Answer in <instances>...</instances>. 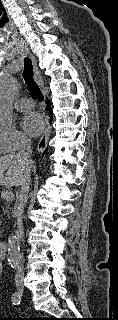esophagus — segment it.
I'll list each match as a JSON object with an SVG mask.
<instances>
[{
	"label": "esophagus",
	"mask_w": 118,
	"mask_h": 320,
	"mask_svg": "<svg viewBox=\"0 0 118 320\" xmlns=\"http://www.w3.org/2000/svg\"><path fill=\"white\" fill-rule=\"evenodd\" d=\"M30 59H31L33 67H34V78L40 86H43L44 81L42 79L40 70L38 68L37 61L32 54H30ZM50 132H51V126L49 123V117L47 116L45 119L44 133H43L42 137L40 138L38 145H37V152L38 153H42L45 150V148L47 147V142H48V138L50 136Z\"/></svg>",
	"instance_id": "esophagus-1"
}]
</instances>
